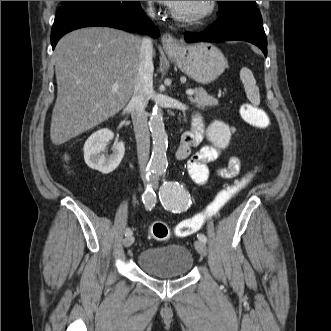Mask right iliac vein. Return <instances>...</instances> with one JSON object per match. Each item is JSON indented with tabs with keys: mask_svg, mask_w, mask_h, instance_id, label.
<instances>
[{
	"mask_svg": "<svg viewBox=\"0 0 331 331\" xmlns=\"http://www.w3.org/2000/svg\"><path fill=\"white\" fill-rule=\"evenodd\" d=\"M134 242V237L132 235H128L124 238L123 244L125 247H130Z\"/></svg>",
	"mask_w": 331,
	"mask_h": 331,
	"instance_id": "obj_1",
	"label": "right iliac vein"
}]
</instances>
